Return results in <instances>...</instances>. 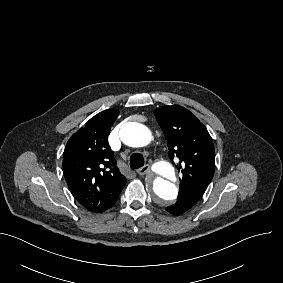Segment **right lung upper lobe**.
<instances>
[{"mask_svg":"<svg viewBox=\"0 0 283 283\" xmlns=\"http://www.w3.org/2000/svg\"><path fill=\"white\" fill-rule=\"evenodd\" d=\"M118 114L107 109L95 115L72 135L63 155V172L72 195L95 213L109 209L126 184L107 138Z\"/></svg>","mask_w":283,"mask_h":283,"instance_id":"obj_1","label":"right lung upper lobe"}]
</instances>
